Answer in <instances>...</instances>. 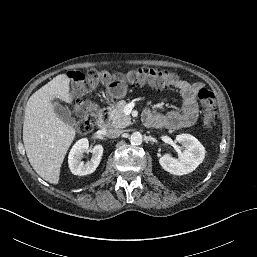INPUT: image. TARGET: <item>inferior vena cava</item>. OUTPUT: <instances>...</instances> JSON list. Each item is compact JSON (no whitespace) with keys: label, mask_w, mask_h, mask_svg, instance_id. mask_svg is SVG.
Segmentation results:
<instances>
[{"label":"inferior vena cava","mask_w":257,"mask_h":257,"mask_svg":"<svg viewBox=\"0 0 257 257\" xmlns=\"http://www.w3.org/2000/svg\"><path fill=\"white\" fill-rule=\"evenodd\" d=\"M122 134L120 129H109L107 130V136L110 138H118Z\"/></svg>","instance_id":"602c4592"}]
</instances>
